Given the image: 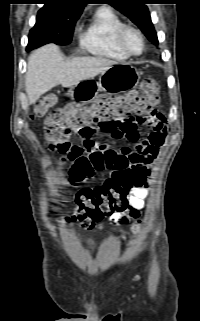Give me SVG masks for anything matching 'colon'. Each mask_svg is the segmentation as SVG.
Segmentation results:
<instances>
[{
	"label": "colon",
	"mask_w": 200,
	"mask_h": 321,
	"mask_svg": "<svg viewBox=\"0 0 200 321\" xmlns=\"http://www.w3.org/2000/svg\"><path fill=\"white\" fill-rule=\"evenodd\" d=\"M56 101L54 95L44 96L35 105L33 114L37 117L46 115V139L51 150L69 157L73 149L69 143L71 136L108 130L133 114L146 115L154 111L159 102V85L154 79H147L124 96L103 95L49 112ZM70 160L69 178L74 184L83 182L94 172L112 170L111 177L103 185L82 188L76 194V206L69 219L84 229L92 230L103 217L123 210L127 195L140 184L128 160L114 154L79 152ZM137 228L134 225L133 229Z\"/></svg>",
	"instance_id": "5ec220e1"
}]
</instances>
